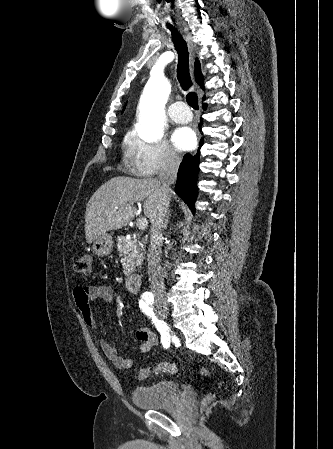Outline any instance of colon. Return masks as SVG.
<instances>
[{"label":"colon","instance_id":"obj_1","mask_svg":"<svg viewBox=\"0 0 333 449\" xmlns=\"http://www.w3.org/2000/svg\"><path fill=\"white\" fill-rule=\"evenodd\" d=\"M91 266V256L89 254H83L80 256L75 262L74 268L77 273L87 274L90 271ZM199 374L203 376H209L210 372L208 369L201 367L196 370ZM152 372L155 373H167V374H176L178 372V368L175 364L170 362H161L153 368H141L137 376L139 379L147 378ZM213 399L212 395H207L204 399V403H209Z\"/></svg>","mask_w":333,"mask_h":449}]
</instances>
